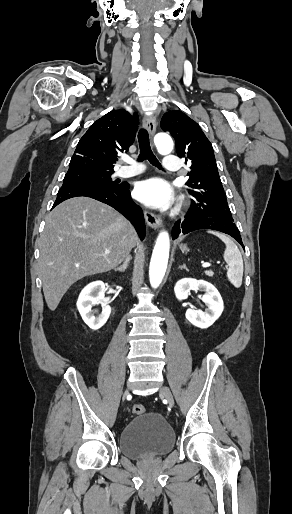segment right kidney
Masks as SVG:
<instances>
[{"mask_svg":"<svg viewBox=\"0 0 292 514\" xmlns=\"http://www.w3.org/2000/svg\"><path fill=\"white\" fill-rule=\"evenodd\" d=\"M105 296V286L103 282H91L88 286L83 288L77 302V308L84 320L85 324L91 330H99L106 324L110 314L111 308L107 304H103ZM95 304H102V312L98 314V310H92ZM98 314V316H95Z\"/></svg>","mask_w":292,"mask_h":514,"instance_id":"obj_1","label":"right kidney"}]
</instances>
